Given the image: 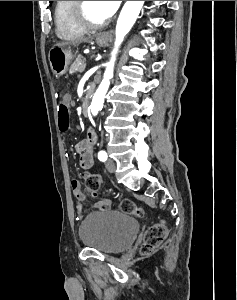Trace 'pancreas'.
<instances>
[{
    "label": "pancreas",
    "instance_id": "obj_1",
    "mask_svg": "<svg viewBox=\"0 0 237 300\" xmlns=\"http://www.w3.org/2000/svg\"><path fill=\"white\" fill-rule=\"evenodd\" d=\"M86 61L82 55H78L77 59H75L73 65L70 67V73H81L79 71L80 66L83 65V62Z\"/></svg>",
    "mask_w": 237,
    "mask_h": 300
}]
</instances>
